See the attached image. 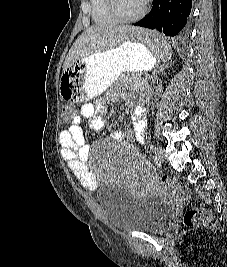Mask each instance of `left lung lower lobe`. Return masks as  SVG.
Here are the masks:
<instances>
[{"instance_id":"obj_1","label":"left lung lower lobe","mask_w":227,"mask_h":267,"mask_svg":"<svg viewBox=\"0 0 227 267\" xmlns=\"http://www.w3.org/2000/svg\"><path fill=\"white\" fill-rule=\"evenodd\" d=\"M191 6L192 0H154L149 14L134 25L162 32L169 44L171 39L165 36L179 38L185 34Z\"/></svg>"}]
</instances>
